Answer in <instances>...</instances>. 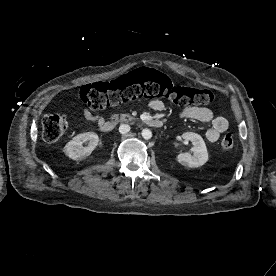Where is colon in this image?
Wrapping results in <instances>:
<instances>
[{
  "label": "colon",
  "mask_w": 276,
  "mask_h": 276,
  "mask_svg": "<svg viewBox=\"0 0 276 276\" xmlns=\"http://www.w3.org/2000/svg\"><path fill=\"white\" fill-rule=\"evenodd\" d=\"M79 95L81 100L94 110L141 98H164L183 107L205 106L213 100L210 90L178 86L166 74L149 67L138 68L113 82L86 85L80 89ZM67 128V120L58 114H47L42 120V134L47 142L57 141ZM234 146L233 135L226 134L221 140L222 150L229 152Z\"/></svg>",
  "instance_id": "1"
}]
</instances>
